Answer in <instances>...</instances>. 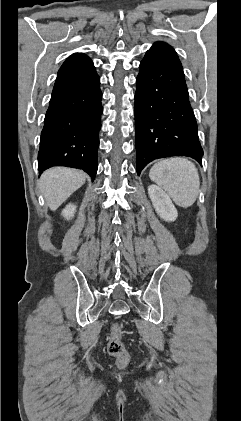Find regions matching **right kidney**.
Here are the masks:
<instances>
[{"label": "right kidney", "mask_w": 241, "mask_h": 421, "mask_svg": "<svg viewBox=\"0 0 241 421\" xmlns=\"http://www.w3.org/2000/svg\"><path fill=\"white\" fill-rule=\"evenodd\" d=\"M76 212V206L73 204H69L66 206L65 209L62 211V215L67 220L71 219L74 216V213Z\"/></svg>", "instance_id": "1"}]
</instances>
